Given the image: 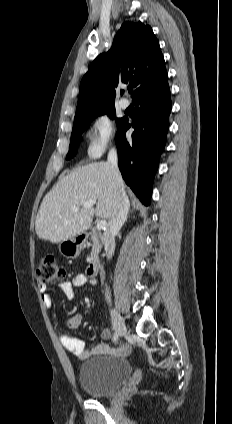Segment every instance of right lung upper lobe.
I'll use <instances>...</instances> for the list:
<instances>
[{
  "mask_svg": "<svg viewBox=\"0 0 232 424\" xmlns=\"http://www.w3.org/2000/svg\"><path fill=\"white\" fill-rule=\"evenodd\" d=\"M165 72V61L151 27L140 21L124 22L109 52L99 55L82 78L75 120L114 107L119 83L133 84L134 100Z\"/></svg>",
  "mask_w": 232,
  "mask_h": 424,
  "instance_id": "cb5924a9",
  "label": "right lung upper lobe"
}]
</instances>
